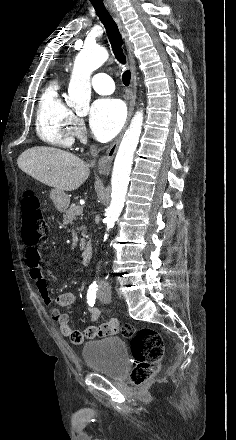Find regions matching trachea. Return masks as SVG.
<instances>
[{
  "mask_svg": "<svg viewBox=\"0 0 236 440\" xmlns=\"http://www.w3.org/2000/svg\"><path fill=\"white\" fill-rule=\"evenodd\" d=\"M96 13L100 19V21L103 23L110 44L112 46V50L113 53L115 55V58L118 60L119 63H121L122 65L126 64V56L123 53V49H122V37L119 31V28L116 24V22L114 21V19L112 18L111 14L107 11V9L104 6V3H92ZM122 81L123 84L125 86H128L130 84L131 81V72L130 70L126 69L123 72L122 75Z\"/></svg>",
  "mask_w": 236,
  "mask_h": 440,
  "instance_id": "trachea-1",
  "label": "trachea"
}]
</instances>
